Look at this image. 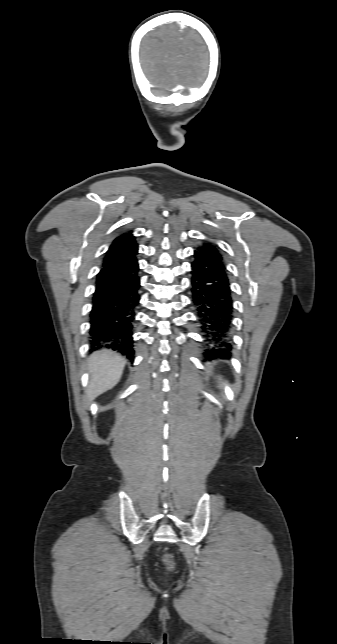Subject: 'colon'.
Segmentation results:
<instances>
[{
  "label": "colon",
  "mask_w": 337,
  "mask_h": 644,
  "mask_svg": "<svg viewBox=\"0 0 337 644\" xmlns=\"http://www.w3.org/2000/svg\"><path fill=\"white\" fill-rule=\"evenodd\" d=\"M164 561L167 563H170L172 561V557L170 555H165L164 556Z\"/></svg>",
  "instance_id": "colon-1"
}]
</instances>
